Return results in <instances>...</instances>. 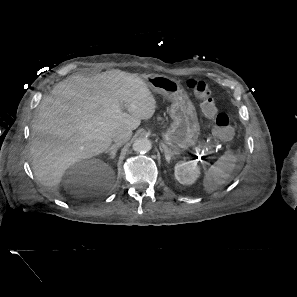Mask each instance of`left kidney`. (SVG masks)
Segmentation results:
<instances>
[{"instance_id": "1", "label": "left kidney", "mask_w": 297, "mask_h": 297, "mask_svg": "<svg viewBox=\"0 0 297 297\" xmlns=\"http://www.w3.org/2000/svg\"><path fill=\"white\" fill-rule=\"evenodd\" d=\"M200 175V170L195 160L181 162L175 166V178L184 185L193 184Z\"/></svg>"}]
</instances>
